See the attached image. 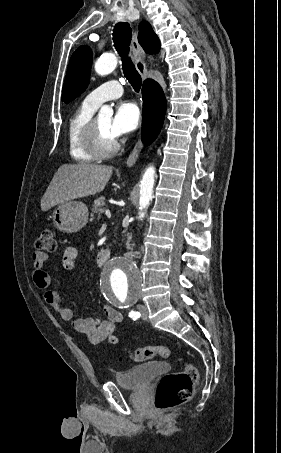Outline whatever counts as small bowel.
<instances>
[{"mask_svg":"<svg viewBox=\"0 0 281 453\" xmlns=\"http://www.w3.org/2000/svg\"><path fill=\"white\" fill-rule=\"evenodd\" d=\"M77 251L74 247H67L63 255V264L66 270H73L76 262ZM32 280L43 291L46 303L55 309L61 319L72 323L74 329L85 335L91 342L116 344L114 328L123 320L122 314L112 307L105 308L107 319L97 320L92 318H79L73 311L63 306L59 294L49 289L50 276L47 273L49 257L45 252L37 251L31 256Z\"/></svg>","mask_w":281,"mask_h":453,"instance_id":"obj_1","label":"small bowel"}]
</instances>
